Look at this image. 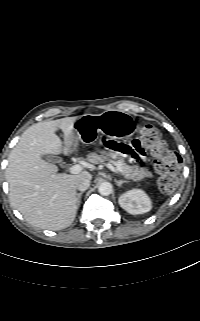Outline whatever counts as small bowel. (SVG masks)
<instances>
[{
  "mask_svg": "<svg viewBox=\"0 0 200 321\" xmlns=\"http://www.w3.org/2000/svg\"><path fill=\"white\" fill-rule=\"evenodd\" d=\"M100 143L104 147H108L114 152L120 153L124 156L131 157L134 162L139 163L142 159L146 158L148 155L147 150L145 149L142 140L138 136L131 138L130 143L127 141L117 142L114 139H111L107 136L101 138Z\"/></svg>",
  "mask_w": 200,
  "mask_h": 321,
  "instance_id": "obj_1",
  "label": "small bowel"
}]
</instances>
